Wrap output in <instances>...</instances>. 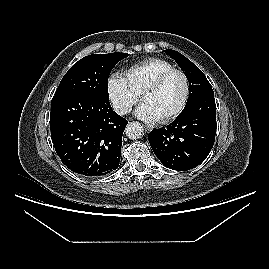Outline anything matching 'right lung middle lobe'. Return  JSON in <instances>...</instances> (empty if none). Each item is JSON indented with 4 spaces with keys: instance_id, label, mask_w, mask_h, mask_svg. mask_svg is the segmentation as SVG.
<instances>
[{
    "instance_id": "dd1d6c3e",
    "label": "right lung middle lobe",
    "mask_w": 269,
    "mask_h": 269,
    "mask_svg": "<svg viewBox=\"0 0 269 269\" xmlns=\"http://www.w3.org/2000/svg\"><path fill=\"white\" fill-rule=\"evenodd\" d=\"M126 53L88 55L76 62L64 75L56 95L80 93L109 101L108 77Z\"/></svg>"
}]
</instances>
